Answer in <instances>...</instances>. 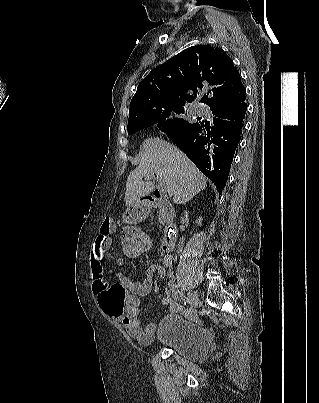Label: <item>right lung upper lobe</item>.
Returning <instances> with one entry per match:
<instances>
[{"label": "right lung upper lobe", "instance_id": "cb5924a9", "mask_svg": "<svg viewBox=\"0 0 319 403\" xmlns=\"http://www.w3.org/2000/svg\"><path fill=\"white\" fill-rule=\"evenodd\" d=\"M204 90L208 92L200 102L211 108L245 97L239 72L223 50L208 45L192 46L151 71L140 82L130 102L128 121L151 108L192 102Z\"/></svg>", "mask_w": 319, "mask_h": 403}]
</instances>
